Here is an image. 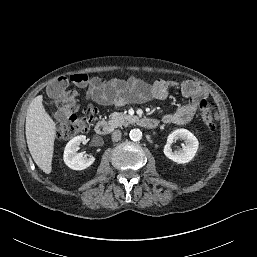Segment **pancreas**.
I'll return each instance as SVG.
<instances>
[{
	"label": "pancreas",
	"mask_w": 257,
	"mask_h": 257,
	"mask_svg": "<svg viewBox=\"0 0 257 257\" xmlns=\"http://www.w3.org/2000/svg\"><path fill=\"white\" fill-rule=\"evenodd\" d=\"M135 117L124 114L122 112H113L109 117V125L117 128L119 126L131 123Z\"/></svg>",
	"instance_id": "obj_1"
}]
</instances>
